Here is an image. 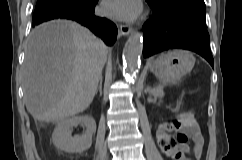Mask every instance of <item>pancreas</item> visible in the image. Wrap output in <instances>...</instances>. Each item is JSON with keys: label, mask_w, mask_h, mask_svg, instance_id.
I'll list each match as a JSON object with an SVG mask.
<instances>
[{"label": "pancreas", "mask_w": 242, "mask_h": 160, "mask_svg": "<svg viewBox=\"0 0 242 160\" xmlns=\"http://www.w3.org/2000/svg\"><path fill=\"white\" fill-rule=\"evenodd\" d=\"M151 94H153L154 96H158L161 97L162 96V91L160 88H154L151 90Z\"/></svg>", "instance_id": "pancreas-1"}]
</instances>
